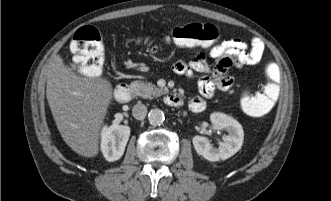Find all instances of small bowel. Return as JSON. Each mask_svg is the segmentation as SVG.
I'll return each instance as SVG.
<instances>
[{"instance_id":"small-bowel-1","label":"small bowel","mask_w":331,"mask_h":201,"mask_svg":"<svg viewBox=\"0 0 331 201\" xmlns=\"http://www.w3.org/2000/svg\"><path fill=\"white\" fill-rule=\"evenodd\" d=\"M264 48V43L256 37L249 41L231 38L211 47L206 53H197L190 60H178L173 65L176 74L185 77L201 74L197 82L199 95L189 101V109L200 113L206 108L205 99L213 97L217 92L230 91L234 80L227 75L228 69L257 64ZM207 57L214 61L212 65L207 62Z\"/></svg>"}]
</instances>
